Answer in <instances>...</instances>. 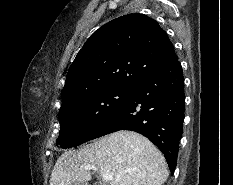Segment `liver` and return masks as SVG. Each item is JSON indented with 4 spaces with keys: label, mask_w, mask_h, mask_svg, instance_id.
<instances>
[{
    "label": "liver",
    "mask_w": 233,
    "mask_h": 185,
    "mask_svg": "<svg viewBox=\"0 0 233 185\" xmlns=\"http://www.w3.org/2000/svg\"><path fill=\"white\" fill-rule=\"evenodd\" d=\"M88 164L101 175L113 176L108 185H162L169 176L163 154L150 140L136 132L118 131L78 151L62 153L52 170L50 185H88L91 172L82 168Z\"/></svg>",
    "instance_id": "liver-1"
}]
</instances>
